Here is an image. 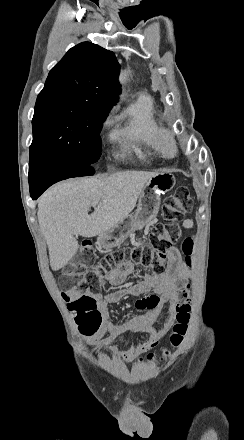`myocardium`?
<instances>
[{
	"label": "myocardium",
	"instance_id": "obj_1",
	"mask_svg": "<svg viewBox=\"0 0 244 440\" xmlns=\"http://www.w3.org/2000/svg\"><path fill=\"white\" fill-rule=\"evenodd\" d=\"M122 135V133L120 132ZM123 136V135H122ZM126 137V136H123ZM129 139H132L131 137ZM160 145V151L163 157L165 158H173L177 153V142L176 137L173 133L170 132H162L161 138L156 140Z\"/></svg>",
	"mask_w": 244,
	"mask_h": 440
}]
</instances>
